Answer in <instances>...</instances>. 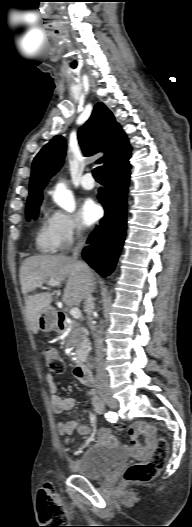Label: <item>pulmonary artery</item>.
Returning <instances> with one entry per match:
<instances>
[{
	"mask_svg": "<svg viewBox=\"0 0 192 527\" xmlns=\"http://www.w3.org/2000/svg\"><path fill=\"white\" fill-rule=\"evenodd\" d=\"M81 186L86 190H91L95 187L94 179L90 173H86L81 178Z\"/></svg>",
	"mask_w": 192,
	"mask_h": 527,
	"instance_id": "1",
	"label": "pulmonary artery"
}]
</instances>
